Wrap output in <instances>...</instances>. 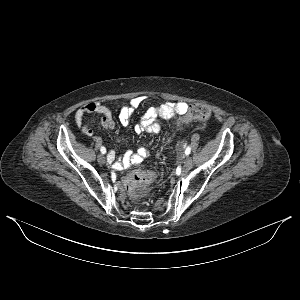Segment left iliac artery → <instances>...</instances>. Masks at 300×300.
Returning <instances> with one entry per match:
<instances>
[{"mask_svg": "<svg viewBox=\"0 0 300 300\" xmlns=\"http://www.w3.org/2000/svg\"><path fill=\"white\" fill-rule=\"evenodd\" d=\"M190 152H191V148H190V146H188V147L186 148V150H185V154H186V155H189Z\"/></svg>", "mask_w": 300, "mask_h": 300, "instance_id": "obj_1", "label": "left iliac artery"}]
</instances>
